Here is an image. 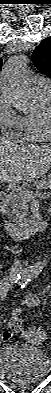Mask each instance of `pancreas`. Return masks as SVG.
I'll list each match as a JSON object with an SVG mask.
<instances>
[{
  "instance_id": "pancreas-1",
  "label": "pancreas",
  "mask_w": 51,
  "mask_h": 393,
  "mask_svg": "<svg viewBox=\"0 0 51 393\" xmlns=\"http://www.w3.org/2000/svg\"><path fill=\"white\" fill-rule=\"evenodd\" d=\"M32 187L49 189L51 187V178L49 176H44L40 180L35 181L32 185L25 184L20 188L27 190L29 193H33L30 190ZM28 202L29 199L19 190V187L12 189L8 197V216L18 227H26L32 222V220L27 217Z\"/></svg>"
}]
</instances>
